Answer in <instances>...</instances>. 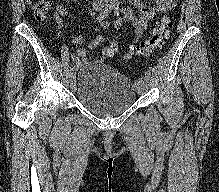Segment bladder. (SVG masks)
Returning <instances> with one entry per match:
<instances>
[{"mask_svg":"<svg viewBox=\"0 0 219 192\" xmlns=\"http://www.w3.org/2000/svg\"><path fill=\"white\" fill-rule=\"evenodd\" d=\"M76 99L91 113L113 117L136 102L134 83L111 65L91 62L79 69Z\"/></svg>","mask_w":219,"mask_h":192,"instance_id":"bladder-1","label":"bladder"}]
</instances>
